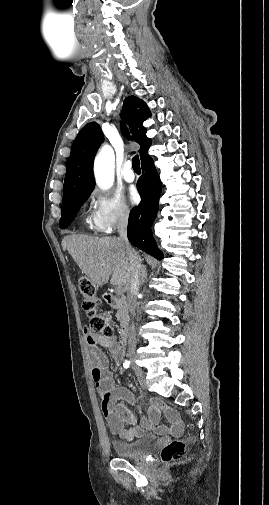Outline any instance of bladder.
<instances>
[{"label":"bladder","instance_id":"31cf9c89","mask_svg":"<svg viewBox=\"0 0 269 505\" xmlns=\"http://www.w3.org/2000/svg\"><path fill=\"white\" fill-rule=\"evenodd\" d=\"M154 443L155 437L146 435L132 442L112 441V447L118 457L135 459L148 452L153 447Z\"/></svg>","mask_w":269,"mask_h":505}]
</instances>
